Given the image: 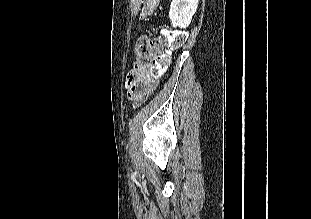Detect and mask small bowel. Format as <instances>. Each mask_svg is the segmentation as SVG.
I'll use <instances>...</instances> for the list:
<instances>
[{
	"label": "small bowel",
	"instance_id": "1",
	"mask_svg": "<svg viewBox=\"0 0 311 219\" xmlns=\"http://www.w3.org/2000/svg\"><path fill=\"white\" fill-rule=\"evenodd\" d=\"M158 83L159 78L149 76L146 69H133L126 77L127 97L135 105H140L154 92Z\"/></svg>",
	"mask_w": 311,
	"mask_h": 219
}]
</instances>
